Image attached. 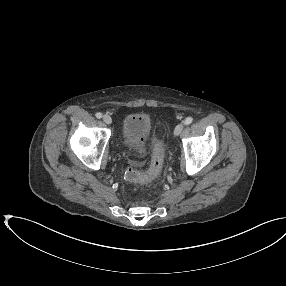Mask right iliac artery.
I'll use <instances>...</instances> for the list:
<instances>
[{"instance_id": "82829eb1", "label": "right iliac artery", "mask_w": 286, "mask_h": 286, "mask_svg": "<svg viewBox=\"0 0 286 286\" xmlns=\"http://www.w3.org/2000/svg\"><path fill=\"white\" fill-rule=\"evenodd\" d=\"M96 117H97L98 119H100V118H102V114H101L100 112H98V113H96Z\"/></svg>"}]
</instances>
